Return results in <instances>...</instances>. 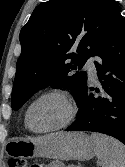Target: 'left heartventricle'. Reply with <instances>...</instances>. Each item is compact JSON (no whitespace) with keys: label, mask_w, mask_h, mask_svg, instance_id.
<instances>
[{"label":"left heart ventricle","mask_w":125,"mask_h":167,"mask_svg":"<svg viewBox=\"0 0 125 167\" xmlns=\"http://www.w3.org/2000/svg\"><path fill=\"white\" fill-rule=\"evenodd\" d=\"M66 114V107L56 97L39 101L30 112V125L36 130H43L60 123Z\"/></svg>","instance_id":"b2bd125f"}]
</instances>
